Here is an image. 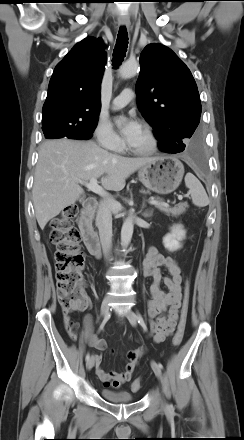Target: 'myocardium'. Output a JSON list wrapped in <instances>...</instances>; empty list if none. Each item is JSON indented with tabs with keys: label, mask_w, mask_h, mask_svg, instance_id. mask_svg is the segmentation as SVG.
<instances>
[{
	"label": "myocardium",
	"mask_w": 244,
	"mask_h": 440,
	"mask_svg": "<svg viewBox=\"0 0 244 440\" xmlns=\"http://www.w3.org/2000/svg\"><path fill=\"white\" fill-rule=\"evenodd\" d=\"M141 129L148 139V145L144 148H134L128 144V150L137 155H149L154 153L159 146L158 137L154 129L148 124H142Z\"/></svg>",
	"instance_id": "myocardium-1"
}]
</instances>
